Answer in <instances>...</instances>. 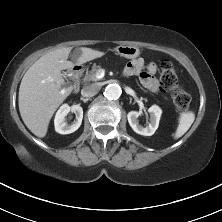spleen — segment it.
<instances>
[{
	"mask_svg": "<svg viewBox=\"0 0 222 222\" xmlns=\"http://www.w3.org/2000/svg\"><path fill=\"white\" fill-rule=\"evenodd\" d=\"M194 120H195V114L192 111L181 113L178 119L179 124L174 134V139L182 137L191 127Z\"/></svg>",
	"mask_w": 222,
	"mask_h": 222,
	"instance_id": "1",
	"label": "spleen"
}]
</instances>
